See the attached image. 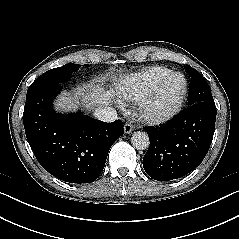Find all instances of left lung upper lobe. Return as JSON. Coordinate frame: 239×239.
<instances>
[{
  "mask_svg": "<svg viewBox=\"0 0 239 239\" xmlns=\"http://www.w3.org/2000/svg\"><path fill=\"white\" fill-rule=\"evenodd\" d=\"M185 71L191 77L188 93L189 105L199 102L214 101L206 79L196 69L189 65L185 66Z\"/></svg>",
  "mask_w": 239,
  "mask_h": 239,
  "instance_id": "5c2ea615",
  "label": "left lung upper lobe"
}]
</instances>
